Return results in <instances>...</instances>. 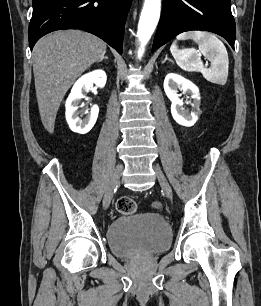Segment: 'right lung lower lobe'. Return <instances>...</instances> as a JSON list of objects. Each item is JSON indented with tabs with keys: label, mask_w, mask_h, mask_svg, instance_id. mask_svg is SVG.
Returning a JSON list of instances; mask_svg holds the SVG:
<instances>
[{
	"label": "right lung lower lobe",
	"mask_w": 261,
	"mask_h": 306,
	"mask_svg": "<svg viewBox=\"0 0 261 306\" xmlns=\"http://www.w3.org/2000/svg\"><path fill=\"white\" fill-rule=\"evenodd\" d=\"M29 46L45 34L62 29L90 32L122 53L126 16L131 0H32Z\"/></svg>",
	"instance_id": "obj_1"
}]
</instances>
